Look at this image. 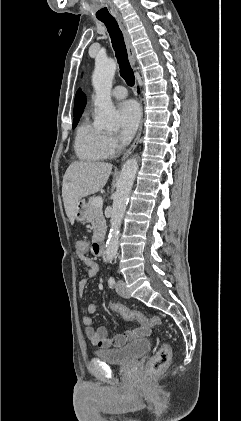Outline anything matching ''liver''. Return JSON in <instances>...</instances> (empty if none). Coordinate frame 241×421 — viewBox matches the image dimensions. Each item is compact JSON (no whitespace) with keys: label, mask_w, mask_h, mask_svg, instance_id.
<instances>
[{"label":"liver","mask_w":241,"mask_h":421,"mask_svg":"<svg viewBox=\"0 0 241 421\" xmlns=\"http://www.w3.org/2000/svg\"><path fill=\"white\" fill-rule=\"evenodd\" d=\"M112 171V164L105 162H73L67 168L62 183L65 212L73 225L77 203L84 197L101 190Z\"/></svg>","instance_id":"obj_1"}]
</instances>
